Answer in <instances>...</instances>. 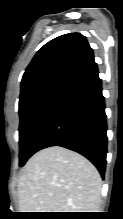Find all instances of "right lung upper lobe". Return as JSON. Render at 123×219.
Listing matches in <instances>:
<instances>
[{
  "label": "right lung upper lobe",
  "instance_id": "right-lung-upper-lobe-1",
  "mask_svg": "<svg viewBox=\"0 0 123 219\" xmlns=\"http://www.w3.org/2000/svg\"><path fill=\"white\" fill-rule=\"evenodd\" d=\"M94 64L93 50L84 36L80 33L59 36L46 43L27 67L21 95L51 81H69Z\"/></svg>",
  "mask_w": 123,
  "mask_h": 219
}]
</instances>
